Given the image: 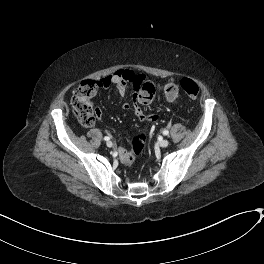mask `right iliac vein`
<instances>
[{"label": "right iliac vein", "mask_w": 264, "mask_h": 264, "mask_svg": "<svg viewBox=\"0 0 264 264\" xmlns=\"http://www.w3.org/2000/svg\"><path fill=\"white\" fill-rule=\"evenodd\" d=\"M106 145H107V147L111 148V147L113 146V143H112L111 141H108V142L106 143Z\"/></svg>", "instance_id": "obj_1"}]
</instances>
